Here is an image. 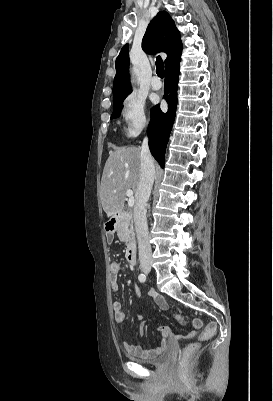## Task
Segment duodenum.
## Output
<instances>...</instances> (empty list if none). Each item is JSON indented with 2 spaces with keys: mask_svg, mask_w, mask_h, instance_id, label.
Instances as JSON below:
<instances>
[{
  "mask_svg": "<svg viewBox=\"0 0 273 401\" xmlns=\"http://www.w3.org/2000/svg\"><path fill=\"white\" fill-rule=\"evenodd\" d=\"M130 218H131V215L129 213L116 214L106 224L107 232L109 234L114 233L120 222L129 220ZM126 259L130 265H135L136 259H137V245L134 241H132L128 244V247L126 250Z\"/></svg>",
  "mask_w": 273,
  "mask_h": 401,
  "instance_id": "410a0bca",
  "label": "duodenum"
}]
</instances>
